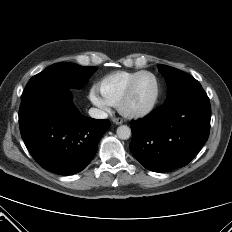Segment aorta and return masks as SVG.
<instances>
[{"instance_id": "762f6f07", "label": "aorta", "mask_w": 232, "mask_h": 232, "mask_svg": "<svg viewBox=\"0 0 232 232\" xmlns=\"http://www.w3.org/2000/svg\"><path fill=\"white\" fill-rule=\"evenodd\" d=\"M116 133L119 139L127 140L131 136V129L127 125H121L117 128Z\"/></svg>"}]
</instances>
